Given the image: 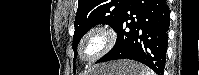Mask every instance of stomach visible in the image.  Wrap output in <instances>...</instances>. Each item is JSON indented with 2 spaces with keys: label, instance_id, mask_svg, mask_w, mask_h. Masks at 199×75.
<instances>
[{
  "label": "stomach",
  "instance_id": "stomach-1",
  "mask_svg": "<svg viewBox=\"0 0 199 75\" xmlns=\"http://www.w3.org/2000/svg\"><path fill=\"white\" fill-rule=\"evenodd\" d=\"M142 66L133 61H114L94 66L89 75H141Z\"/></svg>",
  "mask_w": 199,
  "mask_h": 75
}]
</instances>
